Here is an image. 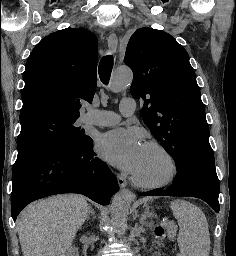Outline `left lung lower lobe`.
I'll list each match as a JSON object with an SVG mask.
<instances>
[{"label":"left lung lower lobe","mask_w":236,"mask_h":256,"mask_svg":"<svg viewBox=\"0 0 236 256\" xmlns=\"http://www.w3.org/2000/svg\"><path fill=\"white\" fill-rule=\"evenodd\" d=\"M176 168L178 173L170 187L166 190L154 189L141 193L140 196L196 197L207 202L218 213L220 209L218 202L220 184L215 163L201 159H191Z\"/></svg>","instance_id":"left-lung-lower-lobe-1"}]
</instances>
